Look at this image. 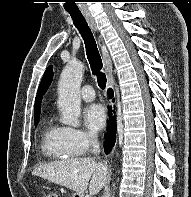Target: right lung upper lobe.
Segmentation results:
<instances>
[{
    "instance_id": "obj_1",
    "label": "right lung upper lobe",
    "mask_w": 191,
    "mask_h": 197,
    "mask_svg": "<svg viewBox=\"0 0 191 197\" xmlns=\"http://www.w3.org/2000/svg\"><path fill=\"white\" fill-rule=\"evenodd\" d=\"M52 78H53V70H52V67L49 66L46 69L45 74L43 75L41 83L38 87L37 96L35 99V120L34 121L39 120L42 96L46 93L47 89L49 88L52 82Z\"/></svg>"
}]
</instances>
